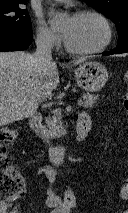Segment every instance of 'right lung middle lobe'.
Here are the masks:
<instances>
[{"label": "right lung middle lobe", "instance_id": "obj_1", "mask_svg": "<svg viewBox=\"0 0 128 213\" xmlns=\"http://www.w3.org/2000/svg\"><path fill=\"white\" fill-rule=\"evenodd\" d=\"M11 34H32L28 12L20 4L0 6V35Z\"/></svg>", "mask_w": 128, "mask_h": 213}]
</instances>
